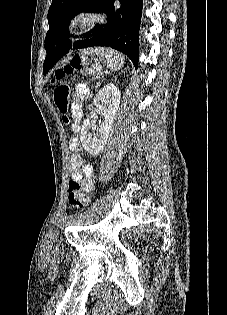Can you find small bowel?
Listing matches in <instances>:
<instances>
[{
  "mask_svg": "<svg viewBox=\"0 0 227 315\" xmlns=\"http://www.w3.org/2000/svg\"><path fill=\"white\" fill-rule=\"evenodd\" d=\"M89 95L86 85L79 84L73 97L72 108L76 112L77 117L81 115V102ZM74 131L79 130V123L75 122L72 126ZM69 148L72 155L69 160V168L72 180H83V189L86 192H92L94 189V168L87 164L80 150V142L78 138L73 137L69 140Z\"/></svg>",
  "mask_w": 227,
  "mask_h": 315,
  "instance_id": "c3829d8e",
  "label": "small bowel"
}]
</instances>
